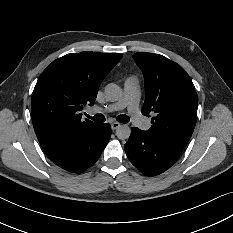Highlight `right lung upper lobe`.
<instances>
[{
  "mask_svg": "<svg viewBox=\"0 0 233 233\" xmlns=\"http://www.w3.org/2000/svg\"><path fill=\"white\" fill-rule=\"evenodd\" d=\"M122 58L117 53L81 52L53 61L40 75L31 98L35 133L45 153L59 149L100 124L81 121L98 88Z\"/></svg>",
  "mask_w": 233,
  "mask_h": 233,
  "instance_id": "right-lung-upper-lobe-1",
  "label": "right lung upper lobe"
}]
</instances>
